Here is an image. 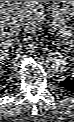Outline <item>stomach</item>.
Here are the masks:
<instances>
[{
    "label": "stomach",
    "instance_id": "obj_1",
    "mask_svg": "<svg viewBox=\"0 0 74 122\" xmlns=\"http://www.w3.org/2000/svg\"><path fill=\"white\" fill-rule=\"evenodd\" d=\"M55 19H70L74 15V1H52Z\"/></svg>",
    "mask_w": 74,
    "mask_h": 122
}]
</instances>
